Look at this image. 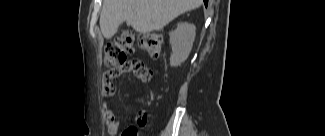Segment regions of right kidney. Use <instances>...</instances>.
I'll return each mask as SVG.
<instances>
[{
    "label": "right kidney",
    "instance_id": "obj_1",
    "mask_svg": "<svg viewBox=\"0 0 325 136\" xmlns=\"http://www.w3.org/2000/svg\"><path fill=\"white\" fill-rule=\"evenodd\" d=\"M196 27L190 23H180L177 29L169 34L172 54L170 65L180 66L189 56L195 40Z\"/></svg>",
    "mask_w": 325,
    "mask_h": 136
}]
</instances>
